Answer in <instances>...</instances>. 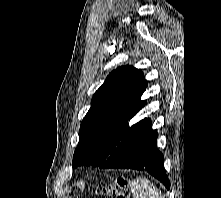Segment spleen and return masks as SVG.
I'll return each mask as SVG.
<instances>
[{
	"instance_id": "spleen-1",
	"label": "spleen",
	"mask_w": 221,
	"mask_h": 198,
	"mask_svg": "<svg viewBox=\"0 0 221 198\" xmlns=\"http://www.w3.org/2000/svg\"><path fill=\"white\" fill-rule=\"evenodd\" d=\"M134 198H164L161 191L147 179L138 177L131 183Z\"/></svg>"
}]
</instances>
